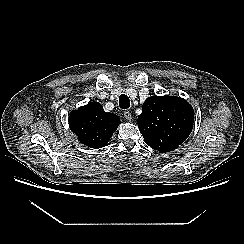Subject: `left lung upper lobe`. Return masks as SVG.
<instances>
[{
    "instance_id": "5c2ea615",
    "label": "left lung upper lobe",
    "mask_w": 244,
    "mask_h": 244,
    "mask_svg": "<svg viewBox=\"0 0 244 244\" xmlns=\"http://www.w3.org/2000/svg\"><path fill=\"white\" fill-rule=\"evenodd\" d=\"M137 121L147 145L160 152H170L190 135L194 110L180 97L151 96L144 102Z\"/></svg>"
}]
</instances>
